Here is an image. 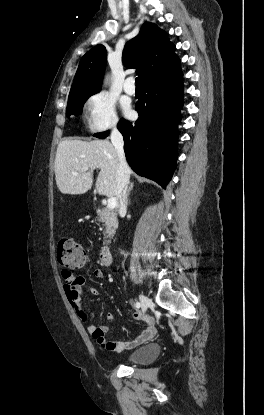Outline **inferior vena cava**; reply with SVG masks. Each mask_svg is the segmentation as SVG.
<instances>
[{"label":"inferior vena cava","mask_w":264,"mask_h":415,"mask_svg":"<svg viewBox=\"0 0 264 415\" xmlns=\"http://www.w3.org/2000/svg\"><path fill=\"white\" fill-rule=\"evenodd\" d=\"M110 139L119 158L116 181V196L120 202L119 212L124 213L127 209V187L129 184L130 169L125 159L123 137L116 127L113 128Z\"/></svg>","instance_id":"602c4592"}]
</instances>
